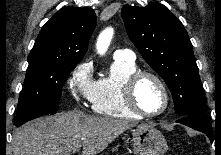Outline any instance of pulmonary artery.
<instances>
[{
    "instance_id": "pulmonary-artery-1",
    "label": "pulmonary artery",
    "mask_w": 221,
    "mask_h": 155,
    "mask_svg": "<svg viewBox=\"0 0 221 155\" xmlns=\"http://www.w3.org/2000/svg\"><path fill=\"white\" fill-rule=\"evenodd\" d=\"M114 59L134 61L135 54L130 49H118L114 53Z\"/></svg>"
}]
</instances>
